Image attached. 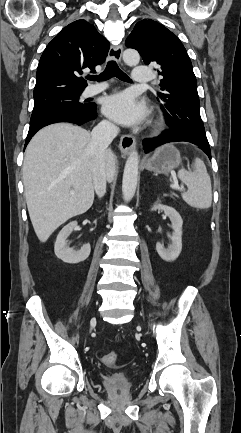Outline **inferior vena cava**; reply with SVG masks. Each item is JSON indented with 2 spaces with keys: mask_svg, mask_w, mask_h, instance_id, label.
<instances>
[{
  "mask_svg": "<svg viewBox=\"0 0 241 433\" xmlns=\"http://www.w3.org/2000/svg\"><path fill=\"white\" fill-rule=\"evenodd\" d=\"M118 133L119 128L108 121L100 122L91 132L88 151L92 157L93 185L99 198L103 197L106 192V150Z\"/></svg>",
  "mask_w": 241,
  "mask_h": 433,
  "instance_id": "inferior-vena-cava-1",
  "label": "inferior vena cava"
}]
</instances>
